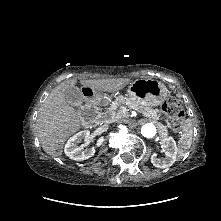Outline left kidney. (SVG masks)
<instances>
[{
    "mask_svg": "<svg viewBox=\"0 0 221 221\" xmlns=\"http://www.w3.org/2000/svg\"><path fill=\"white\" fill-rule=\"evenodd\" d=\"M162 142L166 148V158L161 160L157 157L156 153H153L151 156V163L157 168L164 169L174 164L176 161L178 148L175 140L172 137L165 138Z\"/></svg>",
    "mask_w": 221,
    "mask_h": 221,
    "instance_id": "obj_1",
    "label": "left kidney"
}]
</instances>
